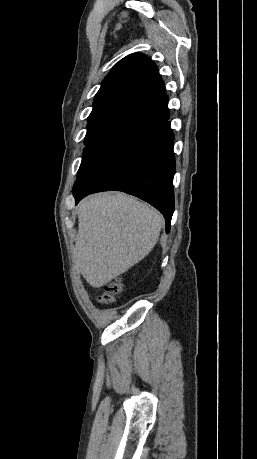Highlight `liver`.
<instances>
[{"mask_svg": "<svg viewBox=\"0 0 257 459\" xmlns=\"http://www.w3.org/2000/svg\"><path fill=\"white\" fill-rule=\"evenodd\" d=\"M74 263L95 288L140 262L155 246L162 216L123 193L97 194L77 208Z\"/></svg>", "mask_w": 257, "mask_h": 459, "instance_id": "6515ba94", "label": "liver"}]
</instances>
